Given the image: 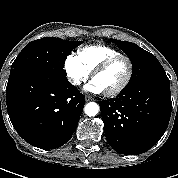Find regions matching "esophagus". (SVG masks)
Masks as SVG:
<instances>
[{
  "label": "esophagus",
  "instance_id": "1",
  "mask_svg": "<svg viewBox=\"0 0 178 178\" xmlns=\"http://www.w3.org/2000/svg\"><path fill=\"white\" fill-rule=\"evenodd\" d=\"M94 100V98H92L91 96H86L85 97V101L88 102V101H92Z\"/></svg>",
  "mask_w": 178,
  "mask_h": 178
}]
</instances>
